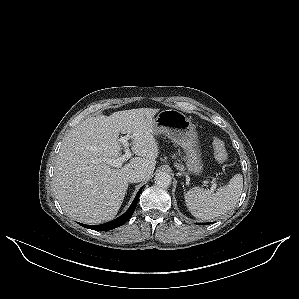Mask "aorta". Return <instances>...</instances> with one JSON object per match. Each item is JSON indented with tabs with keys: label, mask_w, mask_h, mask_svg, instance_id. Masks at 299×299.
Listing matches in <instances>:
<instances>
[{
	"label": "aorta",
	"mask_w": 299,
	"mask_h": 299,
	"mask_svg": "<svg viewBox=\"0 0 299 299\" xmlns=\"http://www.w3.org/2000/svg\"><path fill=\"white\" fill-rule=\"evenodd\" d=\"M154 180L155 184L161 188H168L172 183L171 176L166 172L157 173Z\"/></svg>",
	"instance_id": "1"
}]
</instances>
